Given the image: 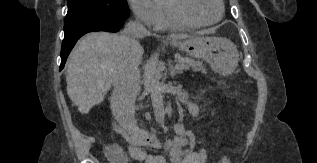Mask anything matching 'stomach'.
<instances>
[{"label": "stomach", "instance_id": "obj_1", "mask_svg": "<svg viewBox=\"0 0 317 163\" xmlns=\"http://www.w3.org/2000/svg\"><path fill=\"white\" fill-rule=\"evenodd\" d=\"M172 45L191 57L208 61L213 69L222 74L233 72L238 65L236 46L224 38L194 37L173 42Z\"/></svg>", "mask_w": 317, "mask_h": 163}]
</instances>
